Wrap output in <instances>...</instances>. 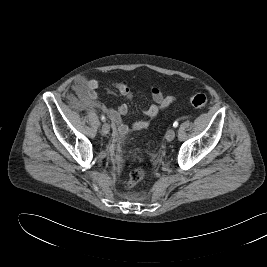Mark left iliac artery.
I'll use <instances>...</instances> for the list:
<instances>
[{
    "mask_svg": "<svg viewBox=\"0 0 267 267\" xmlns=\"http://www.w3.org/2000/svg\"><path fill=\"white\" fill-rule=\"evenodd\" d=\"M178 124H179V123H178L177 121H175V122L173 123V127L176 128V127L178 126Z\"/></svg>",
    "mask_w": 267,
    "mask_h": 267,
    "instance_id": "left-iliac-artery-1",
    "label": "left iliac artery"
}]
</instances>
